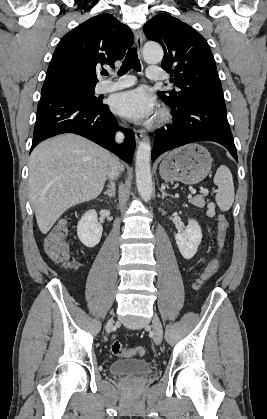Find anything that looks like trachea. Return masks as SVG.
I'll return each mask as SVG.
<instances>
[{"label":"trachea","mask_w":267,"mask_h":419,"mask_svg":"<svg viewBox=\"0 0 267 419\" xmlns=\"http://www.w3.org/2000/svg\"><path fill=\"white\" fill-rule=\"evenodd\" d=\"M130 69L141 71V64L138 59L137 50L135 48H131L128 50L127 55L122 63V66L118 71V75H123L127 73ZM103 75H108V72H103Z\"/></svg>","instance_id":"1"}]
</instances>
